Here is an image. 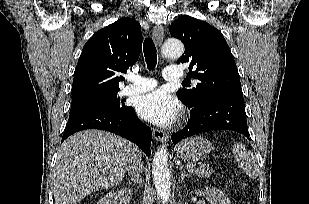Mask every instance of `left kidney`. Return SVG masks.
I'll return each instance as SVG.
<instances>
[{
	"label": "left kidney",
	"mask_w": 309,
	"mask_h": 204,
	"mask_svg": "<svg viewBox=\"0 0 309 204\" xmlns=\"http://www.w3.org/2000/svg\"><path fill=\"white\" fill-rule=\"evenodd\" d=\"M196 194L204 196L210 204H230V199L215 187H207L203 191H196Z\"/></svg>",
	"instance_id": "1"
}]
</instances>
